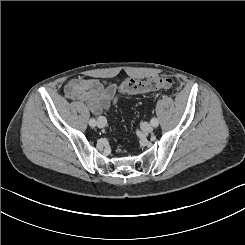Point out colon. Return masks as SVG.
<instances>
[{
  "label": "colon",
  "instance_id": "5ec220e1",
  "mask_svg": "<svg viewBox=\"0 0 245 245\" xmlns=\"http://www.w3.org/2000/svg\"><path fill=\"white\" fill-rule=\"evenodd\" d=\"M172 85L173 80L167 75H159L146 80L126 78L122 80L119 91L126 95L143 94L162 89H169Z\"/></svg>",
  "mask_w": 245,
  "mask_h": 245
}]
</instances>
